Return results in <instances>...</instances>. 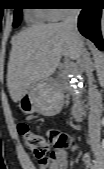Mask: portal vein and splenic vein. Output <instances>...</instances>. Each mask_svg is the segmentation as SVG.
I'll use <instances>...</instances> for the list:
<instances>
[{
	"mask_svg": "<svg viewBox=\"0 0 104 169\" xmlns=\"http://www.w3.org/2000/svg\"><path fill=\"white\" fill-rule=\"evenodd\" d=\"M65 68H66L67 70H69L70 72H72V73H75L76 70H77L76 65H75L74 63H72V62H66V63H65Z\"/></svg>",
	"mask_w": 104,
	"mask_h": 169,
	"instance_id": "obj_1",
	"label": "portal vein and splenic vein"
}]
</instances>
